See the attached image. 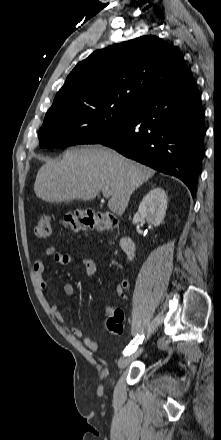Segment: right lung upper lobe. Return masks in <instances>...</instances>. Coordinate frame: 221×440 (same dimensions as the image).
Wrapping results in <instances>:
<instances>
[{
    "instance_id": "cb5924a9",
    "label": "right lung upper lobe",
    "mask_w": 221,
    "mask_h": 440,
    "mask_svg": "<svg viewBox=\"0 0 221 440\" xmlns=\"http://www.w3.org/2000/svg\"><path fill=\"white\" fill-rule=\"evenodd\" d=\"M191 81L187 66L173 46L156 36H142L97 50L79 62L49 110L75 104L135 107Z\"/></svg>"
}]
</instances>
